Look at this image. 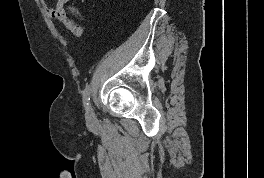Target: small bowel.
<instances>
[{
	"mask_svg": "<svg viewBox=\"0 0 264 178\" xmlns=\"http://www.w3.org/2000/svg\"><path fill=\"white\" fill-rule=\"evenodd\" d=\"M68 0H57L55 6H50L48 0H40L47 14L62 23L74 36L79 37L83 33V28L71 20L64 10V5Z\"/></svg>",
	"mask_w": 264,
	"mask_h": 178,
	"instance_id": "c3829d8e",
	"label": "small bowel"
}]
</instances>
